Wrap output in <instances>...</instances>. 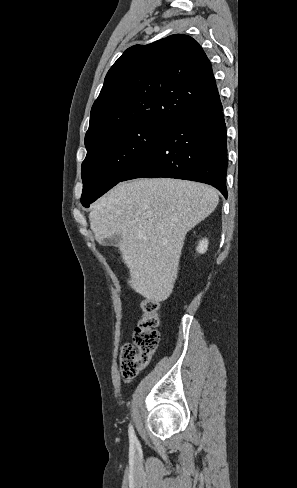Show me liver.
<instances>
[{
  "mask_svg": "<svg viewBox=\"0 0 297 488\" xmlns=\"http://www.w3.org/2000/svg\"><path fill=\"white\" fill-rule=\"evenodd\" d=\"M219 202L212 187L154 178L124 182L98 200L89 213L95 239L121 236L118 247L129 269L130 287L153 302L174 287L184 239Z\"/></svg>",
  "mask_w": 297,
  "mask_h": 488,
  "instance_id": "6515ba94",
  "label": "liver"
}]
</instances>
